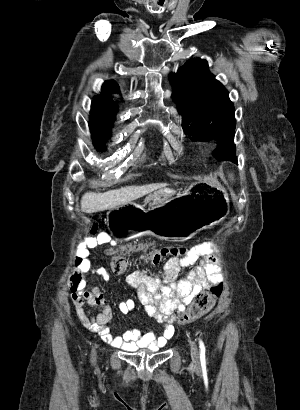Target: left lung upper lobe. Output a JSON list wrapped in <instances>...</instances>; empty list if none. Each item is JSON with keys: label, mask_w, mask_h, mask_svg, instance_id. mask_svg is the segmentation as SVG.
I'll return each instance as SVG.
<instances>
[{"label": "left lung upper lobe", "mask_w": 300, "mask_h": 410, "mask_svg": "<svg viewBox=\"0 0 300 410\" xmlns=\"http://www.w3.org/2000/svg\"><path fill=\"white\" fill-rule=\"evenodd\" d=\"M170 80L185 133L192 135L193 140L215 137L218 146L214 156L237 163L234 106L228 91L209 72L207 61H187L176 74H170Z\"/></svg>", "instance_id": "left-lung-upper-lobe-1"}]
</instances>
